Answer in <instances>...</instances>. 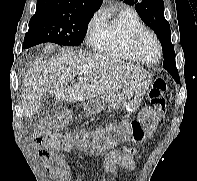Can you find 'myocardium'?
I'll return each instance as SVG.
<instances>
[{"instance_id": "f54148a6", "label": "myocardium", "mask_w": 197, "mask_h": 181, "mask_svg": "<svg viewBox=\"0 0 197 181\" xmlns=\"http://www.w3.org/2000/svg\"><path fill=\"white\" fill-rule=\"evenodd\" d=\"M146 37L152 38L157 45L158 56L155 60L147 59L143 53L141 43L144 40V38H146ZM132 49L135 52V54L137 55V57L143 63H146V64H155L161 59V56H162V45H161V42H160L158 36L153 31H151L150 29H147V28H142L138 32L135 33V35L132 38Z\"/></svg>"}]
</instances>
